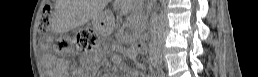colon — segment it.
<instances>
[{"label":"colon","instance_id":"5ec220e1","mask_svg":"<svg viewBox=\"0 0 258 77\" xmlns=\"http://www.w3.org/2000/svg\"><path fill=\"white\" fill-rule=\"evenodd\" d=\"M51 11L49 8H44L40 19V30L46 31L50 27ZM96 43V35L89 30H80L74 40V45L77 48L87 49Z\"/></svg>","mask_w":258,"mask_h":77}]
</instances>
